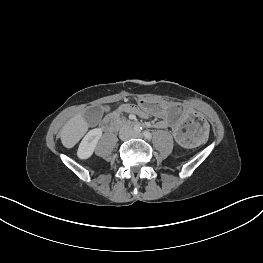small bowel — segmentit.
Segmentation results:
<instances>
[{"mask_svg": "<svg viewBox=\"0 0 263 263\" xmlns=\"http://www.w3.org/2000/svg\"><path fill=\"white\" fill-rule=\"evenodd\" d=\"M120 111L135 114V115H137L139 117H143V118L148 117L143 113L142 107H137V106L132 105V104L122 105L120 107ZM154 127L158 128V129H166L167 128L166 126L161 125L159 123V121L157 123H155Z\"/></svg>", "mask_w": 263, "mask_h": 263, "instance_id": "c3829d8e", "label": "small bowel"}]
</instances>
